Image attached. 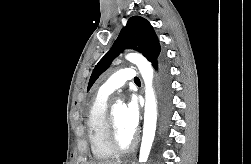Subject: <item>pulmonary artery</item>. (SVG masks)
<instances>
[{
	"instance_id": "1",
	"label": "pulmonary artery",
	"mask_w": 251,
	"mask_h": 164,
	"mask_svg": "<svg viewBox=\"0 0 251 164\" xmlns=\"http://www.w3.org/2000/svg\"><path fill=\"white\" fill-rule=\"evenodd\" d=\"M136 78V72L132 68L121 69L112 74L100 87V93L104 95H111L126 82L133 81Z\"/></svg>"
}]
</instances>
